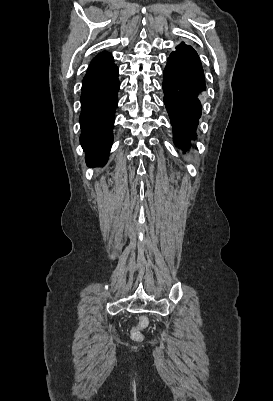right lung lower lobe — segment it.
Instances as JSON below:
<instances>
[{
    "instance_id": "98d812e1",
    "label": "right lung lower lobe",
    "mask_w": 273,
    "mask_h": 401,
    "mask_svg": "<svg viewBox=\"0 0 273 401\" xmlns=\"http://www.w3.org/2000/svg\"><path fill=\"white\" fill-rule=\"evenodd\" d=\"M119 87L113 61L88 69L83 78L80 143L90 167H102L109 155Z\"/></svg>"
}]
</instances>
